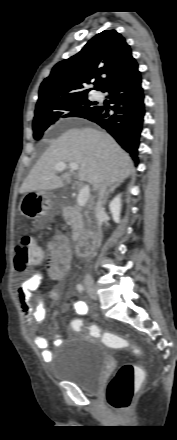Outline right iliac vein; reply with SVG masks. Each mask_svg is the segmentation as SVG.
Masks as SVG:
<instances>
[{
  "instance_id": "obj_1",
  "label": "right iliac vein",
  "mask_w": 177,
  "mask_h": 440,
  "mask_svg": "<svg viewBox=\"0 0 177 440\" xmlns=\"http://www.w3.org/2000/svg\"><path fill=\"white\" fill-rule=\"evenodd\" d=\"M85 288H86L88 294H89L93 299H97L96 288H95V285H94L91 281H86V282H85Z\"/></svg>"
}]
</instances>
